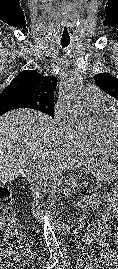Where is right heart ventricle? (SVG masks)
<instances>
[{
    "label": "right heart ventricle",
    "instance_id": "right-heart-ventricle-1",
    "mask_svg": "<svg viewBox=\"0 0 118 269\" xmlns=\"http://www.w3.org/2000/svg\"><path fill=\"white\" fill-rule=\"evenodd\" d=\"M99 113L104 115L105 111L100 110ZM79 150L86 154L118 156L117 153L100 138L99 134L91 135L89 141L84 146L79 148Z\"/></svg>",
    "mask_w": 118,
    "mask_h": 269
}]
</instances>
